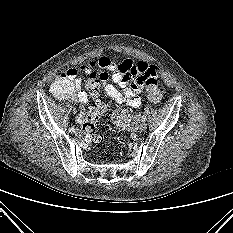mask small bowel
I'll use <instances>...</instances> for the list:
<instances>
[{
	"instance_id": "obj_1",
	"label": "small bowel",
	"mask_w": 233,
	"mask_h": 233,
	"mask_svg": "<svg viewBox=\"0 0 233 233\" xmlns=\"http://www.w3.org/2000/svg\"><path fill=\"white\" fill-rule=\"evenodd\" d=\"M94 71L101 77L106 94L117 103H125L131 108H138L141 105L140 94L147 79L158 75V68L144 61L133 62L131 59H126L116 63L106 56H102L95 61L85 62L79 67L67 69L66 73L73 82V90L65 99L80 103L76 117L78 123L84 121V104L88 102L87 93L81 89L79 73L90 75ZM108 72L111 73L112 81L121 90L107 83Z\"/></svg>"
}]
</instances>
